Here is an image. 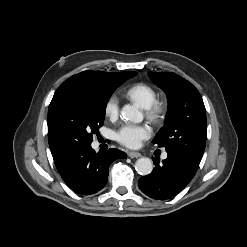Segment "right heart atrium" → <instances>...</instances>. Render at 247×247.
<instances>
[{
    "label": "right heart atrium",
    "instance_id": "right-heart-atrium-1",
    "mask_svg": "<svg viewBox=\"0 0 247 247\" xmlns=\"http://www.w3.org/2000/svg\"><path fill=\"white\" fill-rule=\"evenodd\" d=\"M119 102L116 96H110L104 104V115L111 120L118 117Z\"/></svg>",
    "mask_w": 247,
    "mask_h": 247
}]
</instances>
